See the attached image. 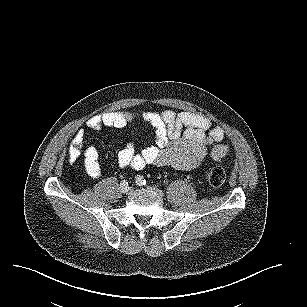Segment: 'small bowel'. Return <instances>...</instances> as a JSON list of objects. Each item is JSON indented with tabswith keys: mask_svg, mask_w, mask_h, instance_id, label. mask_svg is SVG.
<instances>
[{
	"mask_svg": "<svg viewBox=\"0 0 307 307\" xmlns=\"http://www.w3.org/2000/svg\"><path fill=\"white\" fill-rule=\"evenodd\" d=\"M141 121L149 124L155 133V145L138 152L131 143L118 152L119 167H131L136 170L147 165L171 166L178 170H193L200 167L208 155L219 161L229 154L226 145H214L209 153V145L221 142L224 131L213 126L211 120L198 113H175L172 110L163 112H108L92 116L86 122L90 130L99 131L104 128H123L131 122ZM84 134L78 131L68 148L70 161H76L84 154V167L91 177H99L102 169L98 151L90 146L83 149Z\"/></svg>",
	"mask_w": 307,
	"mask_h": 307,
	"instance_id": "obj_1",
	"label": "small bowel"
}]
</instances>
